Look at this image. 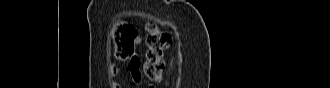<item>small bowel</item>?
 <instances>
[{
  "label": "small bowel",
  "mask_w": 330,
  "mask_h": 88,
  "mask_svg": "<svg viewBox=\"0 0 330 88\" xmlns=\"http://www.w3.org/2000/svg\"><path fill=\"white\" fill-rule=\"evenodd\" d=\"M141 42H142L141 37L136 36L135 41H134L135 46L140 45ZM121 71H122V68L120 66H118V65L112 66L110 68V71H109L110 78L116 77L117 75H119L121 73ZM129 71H130L132 81L135 84L140 83L142 75H141V72H140L139 63H138L137 58H136V66L135 67L132 66V61L130 62ZM112 85H113L114 88H121V86L118 82H113Z\"/></svg>",
  "instance_id": "obj_1"
}]
</instances>
